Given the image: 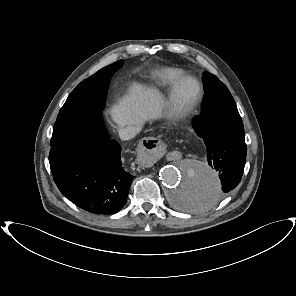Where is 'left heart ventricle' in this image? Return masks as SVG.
Masks as SVG:
<instances>
[{
    "label": "left heart ventricle",
    "instance_id": "obj_1",
    "mask_svg": "<svg viewBox=\"0 0 296 296\" xmlns=\"http://www.w3.org/2000/svg\"><path fill=\"white\" fill-rule=\"evenodd\" d=\"M195 93H196V85L191 81L185 82L179 90V96L183 100L190 99L195 95Z\"/></svg>",
    "mask_w": 296,
    "mask_h": 296
}]
</instances>
